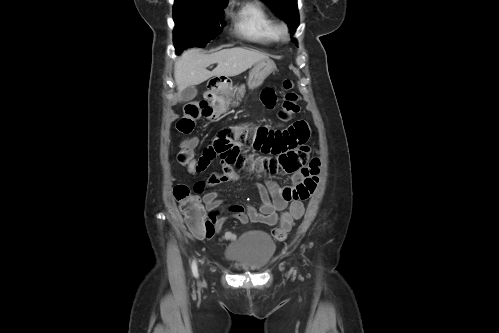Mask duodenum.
<instances>
[{"label":"duodenum","mask_w":499,"mask_h":333,"mask_svg":"<svg viewBox=\"0 0 499 333\" xmlns=\"http://www.w3.org/2000/svg\"><path fill=\"white\" fill-rule=\"evenodd\" d=\"M217 88V85L214 83L213 84V89ZM213 96H215V94L213 93Z\"/></svg>","instance_id":"duodenum-1"}]
</instances>
